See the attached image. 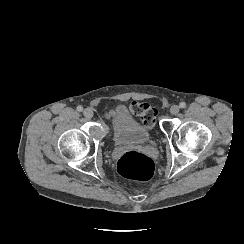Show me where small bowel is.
Listing matches in <instances>:
<instances>
[{
	"label": "small bowel",
	"instance_id": "1",
	"mask_svg": "<svg viewBox=\"0 0 244 244\" xmlns=\"http://www.w3.org/2000/svg\"><path fill=\"white\" fill-rule=\"evenodd\" d=\"M111 117H114V114H110Z\"/></svg>",
	"mask_w": 244,
	"mask_h": 244
}]
</instances>
